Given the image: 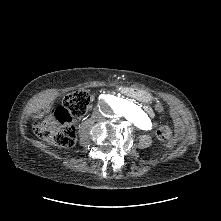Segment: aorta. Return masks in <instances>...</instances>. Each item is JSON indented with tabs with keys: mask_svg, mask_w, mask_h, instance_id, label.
Wrapping results in <instances>:
<instances>
[{
	"mask_svg": "<svg viewBox=\"0 0 221 221\" xmlns=\"http://www.w3.org/2000/svg\"><path fill=\"white\" fill-rule=\"evenodd\" d=\"M111 114L116 113L124 117L134 126L140 129H148L150 120L146 113L136 104L122 98H113L110 100L107 108Z\"/></svg>",
	"mask_w": 221,
	"mask_h": 221,
	"instance_id": "762f6f07",
	"label": "aorta"
}]
</instances>
